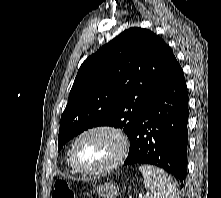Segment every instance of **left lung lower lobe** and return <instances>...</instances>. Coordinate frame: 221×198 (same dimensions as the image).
I'll use <instances>...</instances> for the list:
<instances>
[{
    "instance_id": "1",
    "label": "left lung lower lobe",
    "mask_w": 221,
    "mask_h": 198,
    "mask_svg": "<svg viewBox=\"0 0 221 198\" xmlns=\"http://www.w3.org/2000/svg\"><path fill=\"white\" fill-rule=\"evenodd\" d=\"M188 116L186 82L174 57L163 82L141 111L124 164H153L182 181L187 165Z\"/></svg>"
}]
</instances>
